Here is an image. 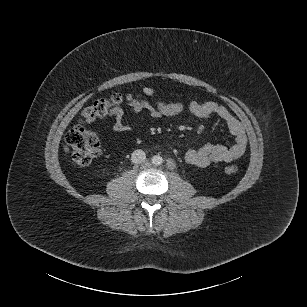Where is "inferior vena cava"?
I'll return each instance as SVG.
<instances>
[{"mask_svg": "<svg viewBox=\"0 0 307 307\" xmlns=\"http://www.w3.org/2000/svg\"><path fill=\"white\" fill-rule=\"evenodd\" d=\"M145 159H146V154L141 149L135 150L131 155V160L135 164H140L143 161H145Z\"/></svg>", "mask_w": 307, "mask_h": 307, "instance_id": "1", "label": "inferior vena cava"}]
</instances>
